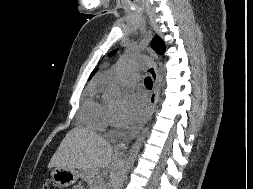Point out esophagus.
<instances>
[{
  "instance_id": "1",
  "label": "esophagus",
  "mask_w": 253,
  "mask_h": 189,
  "mask_svg": "<svg viewBox=\"0 0 253 189\" xmlns=\"http://www.w3.org/2000/svg\"><path fill=\"white\" fill-rule=\"evenodd\" d=\"M148 75L151 77L152 82H153V89L150 94L149 98V108L148 111L142 120V122L136 127L128 136H126L123 141L118 145L117 147V152L118 153H123L126 149V147L130 144V142L140 133V131L143 129L147 121L150 119L152 116L157 102L159 98V85H158V75H157V70L156 66H151L147 70Z\"/></svg>"
}]
</instances>
